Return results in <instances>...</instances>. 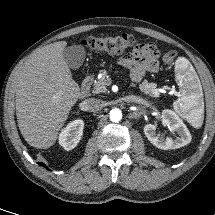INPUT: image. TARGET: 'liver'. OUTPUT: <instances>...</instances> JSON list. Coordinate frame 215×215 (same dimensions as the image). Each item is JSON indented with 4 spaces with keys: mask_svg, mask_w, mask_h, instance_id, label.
Returning <instances> with one entry per match:
<instances>
[{
    "mask_svg": "<svg viewBox=\"0 0 215 215\" xmlns=\"http://www.w3.org/2000/svg\"><path fill=\"white\" fill-rule=\"evenodd\" d=\"M59 41L34 51L14 75L16 116L23 138L35 148L57 140L70 110L80 96Z\"/></svg>",
    "mask_w": 215,
    "mask_h": 215,
    "instance_id": "1",
    "label": "liver"
}]
</instances>
